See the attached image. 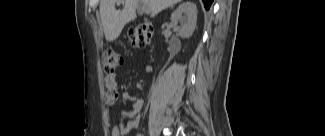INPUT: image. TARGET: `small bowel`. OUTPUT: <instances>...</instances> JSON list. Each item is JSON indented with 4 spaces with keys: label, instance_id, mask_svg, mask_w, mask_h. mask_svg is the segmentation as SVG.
I'll list each match as a JSON object with an SVG mask.
<instances>
[{
    "label": "small bowel",
    "instance_id": "small-bowel-1",
    "mask_svg": "<svg viewBox=\"0 0 325 136\" xmlns=\"http://www.w3.org/2000/svg\"><path fill=\"white\" fill-rule=\"evenodd\" d=\"M146 71L151 73L153 68L146 67ZM105 87L107 90L106 101L108 104H114L119 96L124 104H131V109L122 112V122L114 126L111 130L112 136H125L132 130L138 128L140 123V113L143 107V100L137 95L123 92L121 95L118 90L117 76L114 73L105 77ZM125 120V121H124Z\"/></svg>",
    "mask_w": 325,
    "mask_h": 136
}]
</instances>
